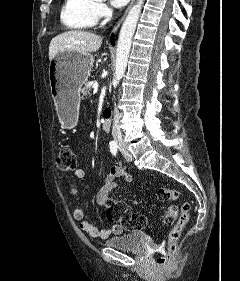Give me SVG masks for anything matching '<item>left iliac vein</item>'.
Instances as JSON below:
<instances>
[{
    "label": "left iliac vein",
    "mask_w": 240,
    "mask_h": 281,
    "mask_svg": "<svg viewBox=\"0 0 240 281\" xmlns=\"http://www.w3.org/2000/svg\"><path fill=\"white\" fill-rule=\"evenodd\" d=\"M121 151H122V154H123V156H124V158L128 161V162H130V161H132V156H131V154L129 153V151H127L126 149H121Z\"/></svg>",
    "instance_id": "4c4485c4"
}]
</instances>
